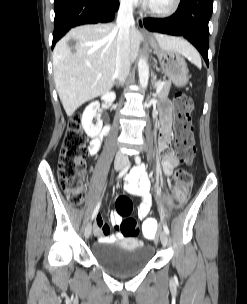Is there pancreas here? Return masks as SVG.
Instances as JSON below:
<instances>
[{"mask_svg":"<svg viewBox=\"0 0 247 304\" xmlns=\"http://www.w3.org/2000/svg\"><path fill=\"white\" fill-rule=\"evenodd\" d=\"M170 88H171V81H164L162 88L158 92V96L160 98H166L169 94Z\"/></svg>","mask_w":247,"mask_h":304,"instance_id":"pancreas-1","label":"pancreas"}]
</instances>
